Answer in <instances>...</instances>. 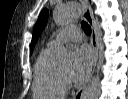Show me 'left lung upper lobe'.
Masks as SVG:
<instances>
[{"label": "left lung upper lobe", "instance_id": "5c2ea615", "mask_svg": "<svg viewBox=\"0 0 128 99\" xmlns=\"http://www.w3.org/2000/svg\"><path fill=\"white\" fill-rule=\"evenodd\" d=\"M48 20V10L47 9H43L39 15V18L34 26V30H33V39L31 42V53L33 51L34 45L37 42L39 35L41 34V31L43 30V28L45 27L46 23Z\"/></svg>", "mask_w": 128, "mask_h": 99}]
</instances>
